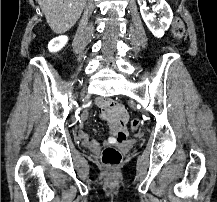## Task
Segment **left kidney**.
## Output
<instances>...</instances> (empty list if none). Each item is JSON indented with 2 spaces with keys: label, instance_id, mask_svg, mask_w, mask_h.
I'll return each instance as SVG.
<instances>
[{
  "label": "left kidney",
  "instance_id": "1",
  "mask_svg": "<svg viewBox=\"0 0 217 202\" xmlns=\"http://www.w3.org/2000/svg\"><path fill=\"white\" fill-rule=\"evenodd\" d=\"M137 2L140 6L141 16L147 28H149L155 38H162L173 20V12L170 6H168L165 0H159V4L155 6V10L161 12V18H157L155 14L149 12V8H146L145 0H137Z\"/></svg>",
  "mask_w": 217,
  "mask_h": 202
}]
</instances>
